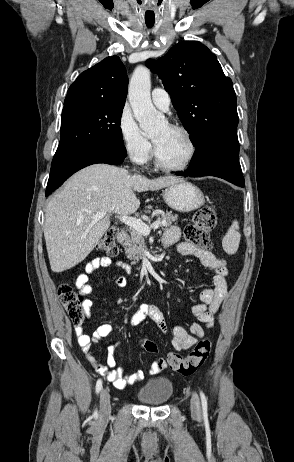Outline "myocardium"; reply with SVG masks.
I'll return each mask as SVG.
<instances>
[{"instance_id":"1","label":"myocardium","mask_w":294,"mask_h":462,"mask_svg":"<svg viewBox=\"0 0 294 462\" xmlns=\"http://www.w3.org/2000/svg\"><path fill=\"white\" fill-rule=\"evenodd\" d=\"M167 125L169 128L180 131L185 135L188 141V144H189V154L183 163L179 165H167L161 161L159 154H158L156 143L152 139L154 164L158 169L166 171V172L183 171L191 165V163L193 162L196 156V153H197L196 141L194 139L193 134L186 126L178 124V123H168Z\"/></svg>"}]
</instances>
